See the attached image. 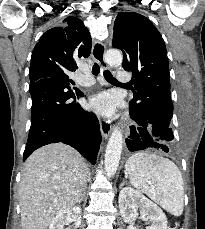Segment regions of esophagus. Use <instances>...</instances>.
I'll list each match as a JSON object with an SVG mask.
<instances>
[{
  "label": "esophagus",
  "instance_id": "obj_1",
  "mask_svg": "<svg viewBox=\"0 0 205 229\" xmlns=\"http://www.w3.org/2000/svg\"><path fill=\"white\" fill-rule=\"evenodd\" d=\"M105 45L102 42L95 41L92 47V56L99 63L101 72L108 69L104 55ZM101 134L104 138H108L111 133V122L105 118L99 119Z\"/></svg>",
  "mask_w": 205,
  "mask_h": 229
}]
</instances>
